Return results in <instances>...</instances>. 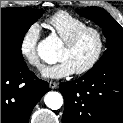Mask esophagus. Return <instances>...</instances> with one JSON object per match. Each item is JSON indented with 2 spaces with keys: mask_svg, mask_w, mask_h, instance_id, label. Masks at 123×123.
<instances>
[{
  "mask_svg": "<svg viewBox=\"0 0 123 123\" xmlns=\"http://www.w3.org/2000/svg\"><path fill=\"white\" fill-rule=\"evenodd\" d=\"M49 87L51 89H56L58 87V84L56 82L50 81L49 82Z\"/></svg>",
  "mask_w": 123,
  "mask_h": 123,
  "instance_id": "34e87169",
  "label": "esophagus"
}]
</instances>
